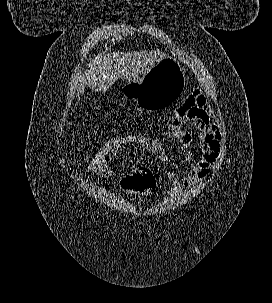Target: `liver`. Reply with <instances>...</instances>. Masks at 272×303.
Wrapping results in <instances>:
<instances>
[{
  "label": "liver",
  "instance_id": "1",
  "mask_svg": "<svg viewBox=\"0 0 272 303\" xmlns=\"http://www.w3.org/2000/svg\"><path fill=\"white\" fill-rule=\"evenodd\" d=\"M166 56L159 50L100 54L89 64L87 82L95 91H106L119 78L134 82Z\"/></svg>",
  "mask_w": 272,
  "mask_h": 303
}]
</instances>
